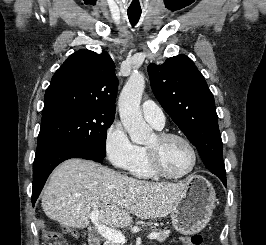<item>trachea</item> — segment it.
I'll list each match as a JSON object with an SVG mask.
<instances>
[{
  "label": "trachea",
  "instance_id": "1",
  "mask_svg": "<svg viewBox=\"0 0 266 245\" xmlns=\"http://www.w3.org/2000/svg\"><path fill=\"white\" fill-rule=\"evenodd\" d=\"M141 13H135L133 11L128 12V18L132 26H135L140 18Z\"/></svg>",
  "mask_w": 266,
  "mask_h": 245
}]
</instances>
